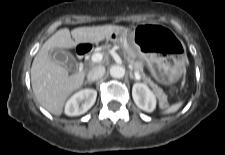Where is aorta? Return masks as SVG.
<instances>
[{"instance_id":"aorta-1","label":"aorta","mask_w":225,"mask_h":155,"mask_svg":"<svg viewBox=\"0 0 225 155\" xmlns=\"http://www.w3.org/2000/svg\"><path fill=\"white\" fill-rule=\"evenodd\" d=\"M110 75L113 78H123L125 75V68L123 66L120 65H114L110 68Z\"/></svg>"}]
</instances>
